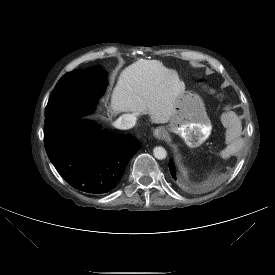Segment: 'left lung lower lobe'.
I'll return each mask as SVG.
<instances>
[{"label":"left lung lower lobe","mask_w":275,"mask_h":275,"mask_svg":"<svg viewBox=\"0 0 275 275\" xmlns=\"http://www.w3.org/2000/svg\"><path fill=\"white\" fill-rule=\"evenodd\" d=\"M169 170H170V173H171L173 179L176 180L175 170L173 167V163L171 161L169 162Z\"/></svg>","instance_id":"0a47b994"}]
</instances>
